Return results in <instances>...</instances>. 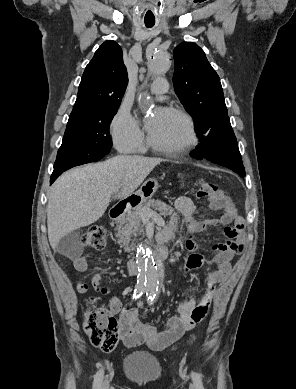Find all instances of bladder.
I'll use <instances>...</instances> for the list:
<instances>
[{
	"instance_id": "31cf9c89",
	"label": "bladder",
	"mask_w": 296,
	"mask_h": 389,
	"mask_svg": "<svg viewBox=\"0 0 296 389\" xmlns=\"http://www.w3.org/2000/svg\"><path fill=\"white\" fill-rule=\"evenodd\" d=\"M123 370L130 381L139 385L156 381L162 375V367L158 359L141 350L129 352L125 356Z\"/></svg>"
}]
</instances>
